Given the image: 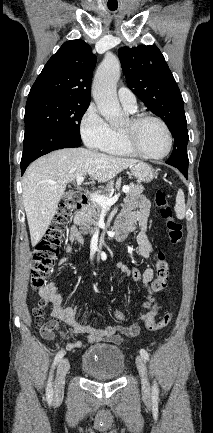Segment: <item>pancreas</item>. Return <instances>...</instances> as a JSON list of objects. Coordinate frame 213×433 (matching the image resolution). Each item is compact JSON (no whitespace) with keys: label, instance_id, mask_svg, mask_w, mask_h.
Instances as JSON below:
<instances>
[{"label":"pancreas","instance_id":"pancreas-1","mask_svg":"<svg viewBox=\"0 0 213 433\" xmlns=\"http://www.w3.org/2000/svg\"><path fill=\"white\" fill-rule=\"evenodd\" d=\"M114 185L115 184L113 181L107 184L104 190V196L110 197L111 192L114 190ZM129 188L130 190L127 195L131 197L140 196L144 190V187L142 185L133 183L129 184ZM101 210L102 206L97 202L91 200L90 203L84 206L77 214L76 218L84 234H92L95 231V228L97 226V220L101 214Z\"/></svg>","mask_w":213,"mask_h":433}]
</instances>
